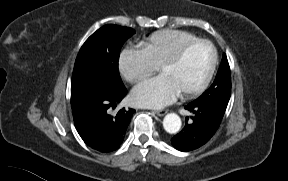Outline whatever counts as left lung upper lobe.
Returning a JSON list of instances; mask_svg holds the SVG:
<instances>
[{"label":"left lung upper lobe","mask_w":288,"mask_h":181,"mask_svg":"<svg viewBox=\"0 0 288 181\" xmlns=\"http://www.w3.org/2000/svg\"><path fill=\"white\" fill-rule=\"evenodd\" d=\"M231 96L230 67L225 54L213 84L193 103L210 104L223 111L226 110Z\"/></svg>","instance_id":"left-lung-upper-lobe-1"}]
</instances>
